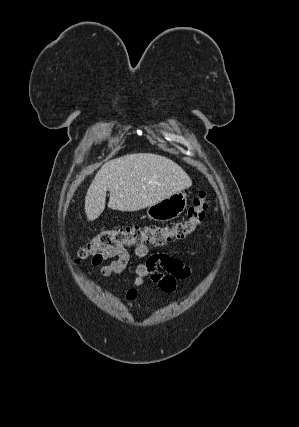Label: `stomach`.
<instances>
[{"label": "stomach", "mask_w": 299, "mask_h": 427, "mask_svg": "<svg viewBox=\"0 0 299 427\" xmlns=\"http://www.w3.org/2000/svg\"><path fill=\"white\" fill-rule=\"evenodd\" d=\"M187 208V195L177 192L147 208L149 219L159 222L171 221L179 217Z\"/></svg>", "instance_id": "stomach-1"}]
</instances>
